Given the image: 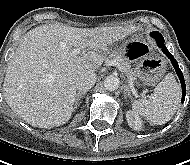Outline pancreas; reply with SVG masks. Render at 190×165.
Listing matches in <instances>:
<instances>
[{
	"mask_svg": "<svg viewBox=\"0 0 190 165\" xmlns=\"http://www.w3.org/2000/svg\"><path fill=\"white\" fill-rule=\"evenodd\" d=\"M110 61H115V62H118L120 64V66L123 68V70L129 75V76H133L134 73L131 69V66L124 61V59L116 54V53H112L109 55L108 58H106V62H110Z\"/></svg>",
	"mask_w": 190,
	"mask_h": 165,
	"instance_id": "pancreas-1",
	"label": "pancreas"
}]
</instances>
